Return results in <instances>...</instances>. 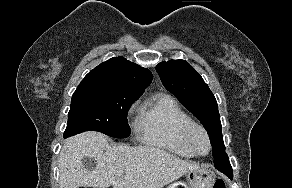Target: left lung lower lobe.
I'll return each instance as SVG.
<instances>
[{"mask_svg":"<svg viewBox=\"0 0 292 188\" xmlns=\"http://www.w3.org/2000/svg\"><path fill=\"white\" fill-rule=\"evenodd\" d=\"M225 166H228L231 168L230 166V163H229V160L227 159L222 165H215V167L218 169V170H221V171H224L226 172V170L224 169Z\"/></svg>","mask_w":292,"mask_h":188,"instance_id":"1","label":"left lung lower lobe"}]
</instances>
